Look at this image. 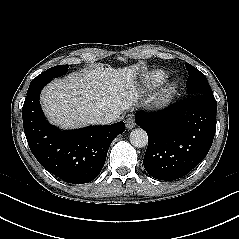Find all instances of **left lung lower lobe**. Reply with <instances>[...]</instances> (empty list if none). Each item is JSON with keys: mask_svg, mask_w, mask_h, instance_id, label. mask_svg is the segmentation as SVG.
I'll return each instance as SVG.
<instances>
[{"mask_svg": "<svg viewBox=\"0 0 239 239\" xmlns=\"http://www.w3.org/2000/svg\"><path fill=\"white\" fill-rule=\"evenodd\" d=\"M213 95H194L163 111L138 112L135 122L148 135L145 170L159 180H176L207 155L216 131Z\"/></svg>", "mask_w": 239, "mask_h": 239, "instance_id": "0a47b994", "label": "left lung lower lobe"}]
</instances>
